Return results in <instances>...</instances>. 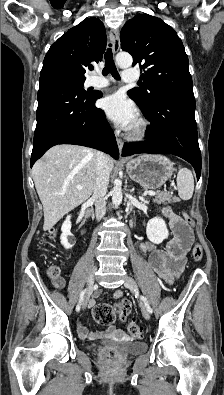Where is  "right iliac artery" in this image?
Listing matches in <instances>:
<instances>
[{
  "mask_svg": "<svg viewBox=\"0 0 224 395\" xmlns=\"http://www.w3.org/2000/svg\"><path fill=\"white\" fill-rule=\"evenodd\" d=\"M85 294H86V289H84V290L81 292V294H80L79 302H78V304H77V306H76V311H77V312L80 311L81 304H82V302H83V300H84Z\"/></svg>",
  "mask_w": 224,
  "mask_h": 395,
  "instance_id": "1",
  "label": "right iliac artery"
}]
</instances>
